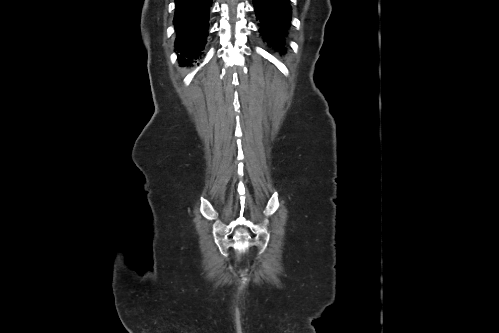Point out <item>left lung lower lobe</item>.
Segmentation results:
<instances>
[{
    "mask_svg": "<svg viewBox=\"0 0 499 333\" xmlns=\"http://www.w3.org/2000/svg\"><path fill=\"white\" fill-rule=\"evenodd\" d=\"M257 19L261 22L260 33L264 41L285 50L283 37L291 20L289 0H253Z\"/></svg>",
    "mask_w": 499,
    "mask_h": 333,
    "instance_id": "0a47b994",
    "label": "left lung lower lobe"
}]
</instances>
